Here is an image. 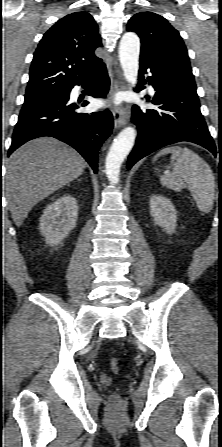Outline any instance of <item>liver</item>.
<instances>
[{
	"label": "liver",
	"mask_w": 222,
	"mask_h": 447,
	"mask_svg": "<svg viewBox=\"0 0 222 447\" xmlns=\"http://www.w3.org/2000/svg\"><path fill=\"white\" fill-rule=\"evenodd\" d=\"M83 157L51 137L31 140L6 161L5 193L11 216L21 226L41 200L84 172Z\"/></svg>",
	"instance_id": "1"
}]
</instances>
